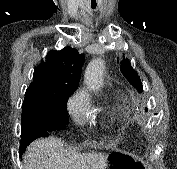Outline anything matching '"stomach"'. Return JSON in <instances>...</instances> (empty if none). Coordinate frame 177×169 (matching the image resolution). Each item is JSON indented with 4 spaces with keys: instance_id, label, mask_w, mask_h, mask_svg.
Returning a JSON list of instances; mask_svg holds the SVG:
<instances>
[{
    "instance_id": "1",
    "label": "stomach",
    "mask_w": 177,
    "mask_h": 169,
    "mask_svg": "<svg viewBox=\"0 0 177 169\" xmlns=\"http://www.w3.org/2000/svg\"><path fill=\"white\" fill-rule=\"evenodd\" d=\"M111 162L108 169H146L145 164L132 154H113Z\"/></svg>"
}]
</instances>
